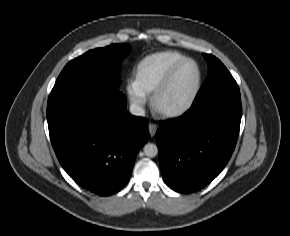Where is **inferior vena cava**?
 <instances>
[{"label": "inferior vena cava", "instance_id": "602c4592", "mask_svg": "<svg viewBox=\"0 0 290 236\" xmlns=\"http://www.w3.org/2000/svg\"><path fill=\"white\" fill-rule=\"evenodd\" d=\"M130 113L135 116H144L145 110L142 106L137 104H131L130 105Z\"/></svg>", "mask_w": 290, "mask_h": 236}]
</instances>
